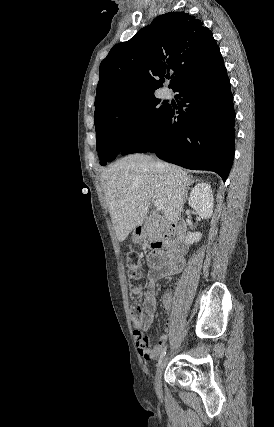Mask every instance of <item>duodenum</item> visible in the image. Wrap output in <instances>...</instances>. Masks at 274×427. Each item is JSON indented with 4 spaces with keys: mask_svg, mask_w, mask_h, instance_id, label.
Returning <instances> with one entry per match:
<instances>
[{
    "mask_svg": "<svg viewBox=\"0 0 274 427\" xmlns=\"http://www.w3.org/2000/svg\"><path fill=\"white\" fill-rule=\"evenodd\" d=\"M152 226H154L157 230V237L155 240V245L157 247L167 246L170 242V239L179 230V225L177 223L166 225L159 219H149L137 228V233L142 235L147 228Z\"/></svg>",
    "mask_w": 274,
    "mask_h": 427,
    "instance_id": "410a0bca",
    "label": "duodenum"
}]
</instances>
